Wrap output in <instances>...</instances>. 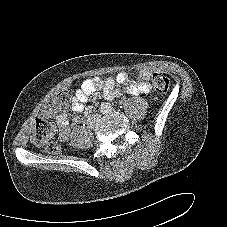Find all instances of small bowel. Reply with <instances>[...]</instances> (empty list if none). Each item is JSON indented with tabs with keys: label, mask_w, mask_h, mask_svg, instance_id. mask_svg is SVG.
I'll list each match as a JSON object with an SVG mask.
<instances>
[{
	"label": "small bowel",
	"mask_w": 227,
	"mask_h": 227,
	"mask_svg": "<svg viewBox=\"0 0 227 227\" xmlns=\"http://www.w3.org/2000/svg\"><path fill=\"white\" fill-rule=\"evenodd\" d=\"M150 78L151 72L149 70L140 71L136 80H130L129 75L124 71L117 73L115 76H109L103 81L99 77L87 78L75 91L71 108L76 113H82L87 97L98 90H101L107 99H114L121 94V90L118 88V85L121 84H126L124 91L127 94H146L150 91ZM73 122H78V118H75ZM56 125L59 131V139L63 142L67 141L71 134V120L69 115L65 112L58 114L56 116Z\"/></svg>",
	"instance_id": "obj_1"
}]
</instances>
